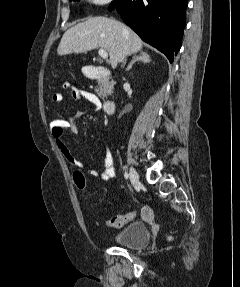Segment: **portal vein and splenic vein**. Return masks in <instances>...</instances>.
I'll list each match as a JSON object with an SVG mask.
<instances>
[{
  "instance_id": "portal-vein-and-splenic-vein-1",
  "label": "portal vein and splenic vein",
  "mask_w": 240,
  "mask_h": 287,
  "mask_svg": "<svg viewBox=\"0 0 240 287\" xmlns=\"http://www.w3.org/2000/svg\"><path fill=\"white\" fill-rule=\"evenodd\" d=\"M99 55L102 59H107L108 58V53L104 48L99 49Z\"/></svg>"
}]
</instances>
